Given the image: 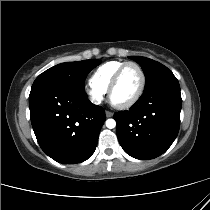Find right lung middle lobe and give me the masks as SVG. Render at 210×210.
<instances>
[{
  "mask_svg": "<svg viewBox=\"0 0 210 210\" xmlns=\"http://www.w3.org/2000/svg\"><path fill=\"white\" fill-rule=\"evenodd\" d=\"M100 63V60L89 59L58 64L40 74L34 81L32 88L42 85H63L83 91L86 76Z\"/></svg>",
  "mask_w": 210,
  "mask_h": 210,
  "instance_id": "1",
  "label": "right lung middle lobe"
}]
</instances>
